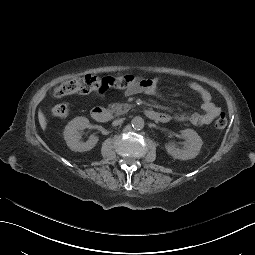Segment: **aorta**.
Instances as JSON below:
<instances>
[{"mask_svg": "<svg viewBox=\"0 0 255 255\" xmlns=\"http://www.w3.org/2000/svg\"><path fill=\"white\" fill-rule=\"evenodd\" d=\"M132 127L136 130H141L144 127V119L140 116H136L131 121Z\"/></svg>", "mask_w": 255, "mask_h": 255, "instance_id": "1", "label": "aorta"}]
</instances>
